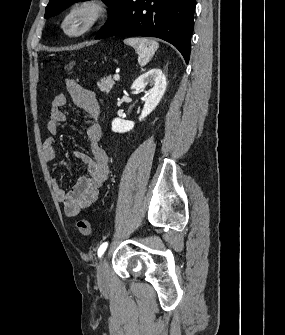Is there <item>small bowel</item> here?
<instances>
[{"mask_svg": "<svg viewBox=\"0 0 285 335\" xmlns=\"http://www.w3.org/2000/svg\"><path fill=\"white\" fill-rule=\"evenodd\" d=\"M66 88L74 105L85 111L90 118L89 124L85 127V135L90 145L91 155L75 153V158L85 166V174L78 179L71 190L63 188L57 178L51 181L57 200L64 205L65 214L68 217H74L98 199L100 189L108 178L110 163L106 151L99 145L102 134L98 122L100 107L94 92L72 79L66 80ZM66 105L67 97L63 93L55 95L51 102L50 118L47 123L50 136L44 140L42 146L47 162H53L56 158L54 136L57 135L59 127L68 120L64 112Z\"/></svg>", "mask_w": 285, "mask_h": 335, "instance_id": "small-bowel-1", "label": "small bowel"}]
</instances>
